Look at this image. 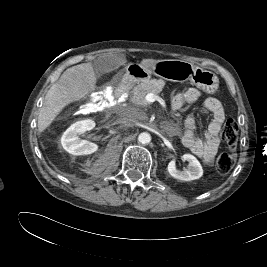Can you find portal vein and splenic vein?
<instances>
[{"label": "portal vein and splenic vein", "mask_w": 267, "mask_h": 267, "mask_svg": "<svg viewBox=\"0 0 267 267\" xmlns=\"http://www.w3.org/2000/svg\"><path fill=\"white\" fill-rule=\"evenodd\" d=\"M145 100L148 103H152V102H155V101L163 102V99L162 98H160L158 95H155L153 93H148L145 96Z\"/></svg>", "instance_id": "portal-vein-and-splenic-vein-1"}]
</instances>
